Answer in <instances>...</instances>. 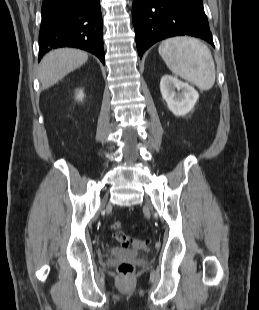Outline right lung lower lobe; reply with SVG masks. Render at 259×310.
Listing matches in <instances>:
<instances>
[{
    "instance_id": "98d812e1",
    "label": "right lung lower lobe",
    "mask_w": 259,
    "mask_h": 310,
    "mask_svg": "<svg viewBox=\"0 0 259 310\" xmlns=\"http://www.w3.org/2000/svg\"><path fill=\"white\" fill-rule=\"evenodd\" d=\"M100 0H43L39 60L50 50L76 47L104 64Z\"/></svg>"
}]
</instances>
